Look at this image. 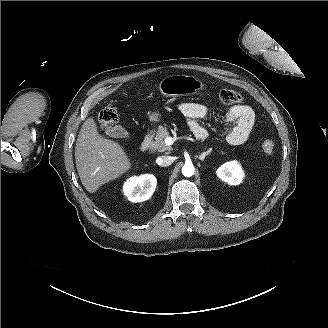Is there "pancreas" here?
<instances>
[{
  "label": "pancreas",
  "instance_id": "1",
  "mask_svg": "<svg viewBox=\"0 0 328 328\" xmlns=\"http://www.w3.org/2000/svg\"><path fill=\"white\" fill-rule=\"evenodd\" d=\"M169 136L167 128L159 126L156 132L155 140L152 142L151 147L158 150L159 152L171 151L173 150L172 146L165 143V138Z\"/></svg>",
  "mask_w": 328,
  "mask_h": 328
}]
</instances>
